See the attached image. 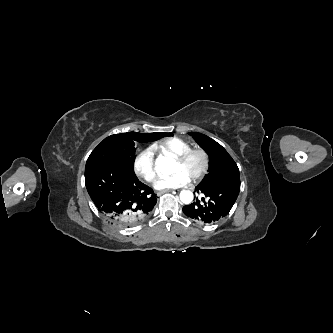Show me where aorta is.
<instances>
[{
  "instance_id": "762f6f07",
  "label": "aorta",
  "mask_w": 333,
  "mask_h": 333,
  "mask_svg": "<svg viewBox=\"0 0 333 333\" xmlns=\"http://www.w3.org/2000/svg\"><path fill=\"white\" fill-rule=\"evenodd\" d=\"M175 161L172 158L159 155L156 159L155 170L158 175H170L173 173ZM180 200L185 204H190L193 200V193L183 190L180 193Z\"/></svg>"
}]
</instances>
